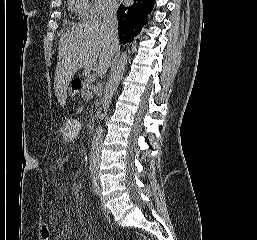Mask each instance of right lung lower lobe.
<instances>
[{"label":"right lung lower lobe","mask_w":257,"mask_h":240,"mask_svg":"<svg viewBox=\"0 0 257 240\" xmlns=\"http://www.w3.org/2000/svg\"><path fill=\"white\" fill-rule=\"evenodd\" d=\"M155 0H134V3L126 7L120 5L117 11L118 35L120 42L125 44L132 42L144 25L147 23V14H150Z\"/></svg>","instance_id":"98d812e1"}]
</instances>
